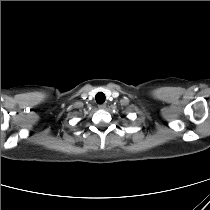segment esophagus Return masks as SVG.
I'll return each instance as SVG.
<instances>
[{"mask_svg": "<svg viewBox=\"0 0 210 210\" xmlns=\"http://www.w3.org/2000/svg\"><path fill=\"white\" fill-rule=\"evenodd\" d=\"M98 108H99V109H106V104H100V105L98 106Z\"/></svg>", "mask_w": 210, "mask_h": 210, "instance_id": "esophagus-1", "label": "esophagus"}]
</instances>
